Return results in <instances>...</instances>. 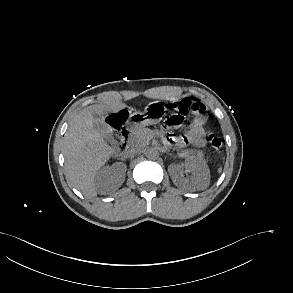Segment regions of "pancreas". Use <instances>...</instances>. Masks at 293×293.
<instances>
[{
  "label": "pancreas",
  "mask_w": 293,
  "mask_h": 293,
  "mask_svg": "<svg viewBox=\"0 0 293 293\" xmlns=\"http://www.w3.org/2000/svg\"><path fill=\"white\" fill-rule=\"evenodd\" d=\"M153 136H154V132L151 129L140 127L138 129H135V131L129 138V143L131 146L143 147L149 143L150 139ZM185 155L187 156L192 155V156H197L198 158H202L203 152L193 150L189 154L185 153Z\"/></svg>",
  "instance_id": "pancreas-1"
}]
</instances>
